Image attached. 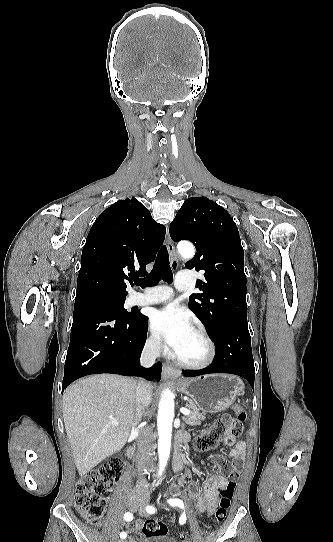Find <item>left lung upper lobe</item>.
<instances>
[{
  "instance_id": "left-lung-upper-lobe-1",
  "label": "left lung upper lobe",
  "mask_w": 333,
  "mask_h": 542,
  "mask_svg": "<svg viewBox=\"0 0 333 542\" xmlns=\"http://www.w3.org/2000/svg\"><path fill=\"white\" fill-rule=\"evenodd\" d=\"M169 231L174 241L195 245L197 253L185 266L204 270L205 280H197L196 287L203 293L191 295L189 308L212 338L229 323H247L244 251L230 214L206 197H190Z\"/></svg>"
}]
</instances>
